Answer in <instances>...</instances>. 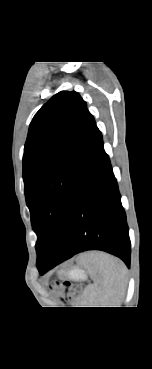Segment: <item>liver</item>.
Masks as SVG:
<instances>
[{
    "label": "liver",
    "instance_id": "6515ba94",
    "mask_svg": "<svg viewBox=\"0 0 152 369\" xmlns=\"http://www.w3.org/2000/svg\"><path fill=\"white\" fill-rule=\"evenodd\" d=\"M88 255H85L84 258H87Z\"/></svg>",
    "mask_w": 152,
    "mask_h": 369
}]
</instances>
